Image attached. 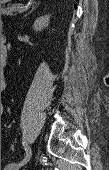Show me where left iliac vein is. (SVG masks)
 Returning <instances> with one entry per match:
<instances>
[{
	"mask_svg": "<svg viewBox=\"0 0 109 170\" xmlns=\"http://www.w3.org/2000/svg\"><path fill=\"white\" fill-rule=\"evenodd\" d=\"M28 161H20V162H13L8 164L4 170H19L22 166H24Z\"/></svg>",
	"mask_w": 109,
	"mask_h": 170,
	"instance_id": "left-iliac-vein-1",
	"label": "left iliac vein"
}]
</instances>
